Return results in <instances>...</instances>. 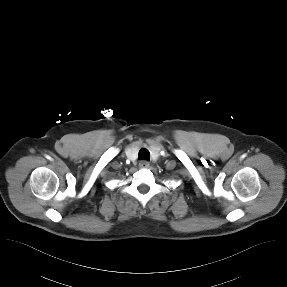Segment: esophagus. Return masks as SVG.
<instances>
[{
  "mask_svg": "<svg viewBox=\"0 0 287 287\" xmlns=\"http://www.w3.org/2000/svg\"><path fill=\"white\" fill-rule=\"evenodd\" d=\"M149 166H150V163L147 160H141L139 162V167L140 168L149 167Z\"/></svg>",
  "mask_w": 287,
  "mask_h": 287,
  "instance_id": "34e87169",
  "label": "esophagus"
}]
</instances>
